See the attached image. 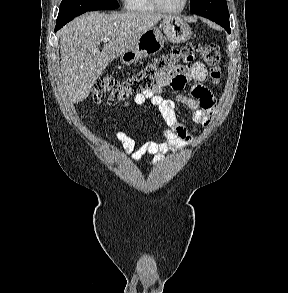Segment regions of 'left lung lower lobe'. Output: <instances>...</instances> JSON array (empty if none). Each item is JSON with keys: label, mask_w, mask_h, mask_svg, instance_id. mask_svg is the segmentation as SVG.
<instances>
[{"label": "left lung lower lobe", "mask_w": 288, "mask_h": 293, "mask_svg": "<svg viewBox=\"0 0 288 293\" xmlns=\"http://www.w3.org/2000/svg\"><path fill=\"white\" fill-rule=\"evenodd\" d=\"M224 28H225V30H226L229 34L231 33L230 26H225Z\"/></svg>", "instance_id": "1"}]
</instances>
